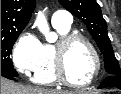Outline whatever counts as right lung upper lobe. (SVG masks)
I'll list each match as a JSON object with an SVG mask.
<instances>
[{"label":"right lung upper lobe","mask_w":121,"mask_h":94,"mask_svg":"<svg viewBox=\"0 0 121 94\" xmlns=\"http://www.w3.org/2000/svg\"><path fill=\"white\" fill-rule=\"evenodd\" d=\"M34 8L35 0H1V33L23 30Z\"/></svg>","instance_id":"cb5924a9"}]
</instances>
